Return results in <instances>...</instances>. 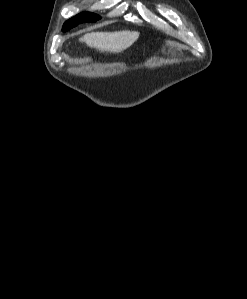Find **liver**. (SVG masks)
Masks as SVG:
<instances>
[{
	"mask_svg": "<svg viewBox=\"0 0 247 299\" xmlns=\"http://www.w3.org/2000/svg\"><path fill=\"white\" fill-rule=\"evenodd\" d=\"M139 37L137 31L91 32L79 39L101 52L120 53L129 48Z\"/></svg>",
	"mask_w": 247,
	"mask_h": 299,
	"instance_id": "1",
	"label": "liver"
}]
</instances>
